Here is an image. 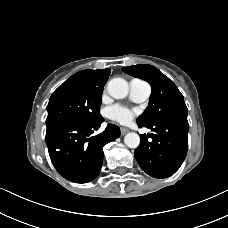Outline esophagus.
I'll list each match as a JSON object with an SVG mask.
<instances>
[{"label": "esophagus", "mask_w": 228, "mask_h": 228, "mask_svg": "<svg viewBox=\"0 0 228 228\" xmlns=\"http://www.w3.org/2000/svg\"><path fill=\"white\" fill-rule=\"evenodd\" d=\"M128 132H129V129L128 128H125V127H122L121 128V135H125Z\"/></svg>", "instance_id": "obj_1"}]
</instances>
